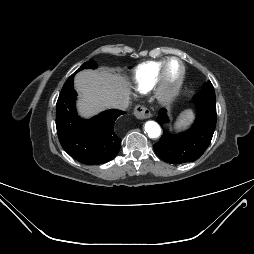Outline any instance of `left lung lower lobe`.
I'll use <instances>...</instances> for the list:
<instances>
[{
    "label": "left lung lower lobe",
    "mask_w": 254,
    "mask_h": 254,
    "mask_svg": "<svg viewBox=\"0 0 254 254\" xmlns=\"http://www.w3.org/2000/svg\"><path fill=\"white\" fill-rule=\"evenodd\" d=\"M197 117L191 129L179 135H171L166 130L154 145L159 158L171 164H181L197 160L208 148L216 126L215 93L199 92L194 96ZM157 122L163 126L169 121L166 110L159 111Z\"/></svg>",
    "instance_id": "obj_1"
}]
</instances>
